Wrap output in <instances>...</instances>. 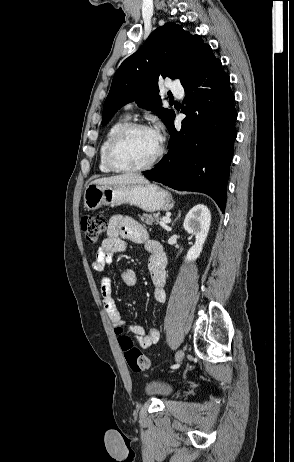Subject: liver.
<instances>
[{
    "label": "liver",
    "instance_id": "1",
    "mask_svg": "<svg viewBox=\"0 0 294 462\" xmlns=\"http://www.w3.org/2000/svg\"><path fill=\"white\" fill-rule=\"evenodd\" d=\"M149 183L143 176L128 173L112 177H104L96 179L92 184L96 185H116V184H147Z\"/></svg>",
    "mask_w": 294,
    "mask_h": 462
}]
</instances>
